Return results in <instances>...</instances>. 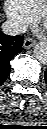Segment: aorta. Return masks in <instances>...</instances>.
Listing matches in <instances>:
<instances>
[{"label": "aorta", "instance_id": "aorta-1", "mask_svg": "<svg viewBox=\"0 0 47 129\" xmlns=\"http://www.w3.org/2000/svg\"><path fill=\"white\" fill-rule=\"evenodd\" d=\"M34 57L42 64L47 62V43L38 42L33 49Z\"/></svg>", "mask_w": 47, "mask_h": 129}]
</instances>
